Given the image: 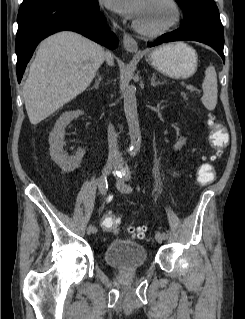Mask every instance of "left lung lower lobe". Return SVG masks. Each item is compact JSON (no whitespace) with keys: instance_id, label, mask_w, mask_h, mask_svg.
Returning a JSON list of instances; mask_svg holds the SVG:
<instances>
[{"instance_id":"left-lung-lower-lobe-1","label":"left lung lower lobe","mask_w":245,"mask_h":319,"mask_svg":"<svg viewBox=\"0 0 245 319\" xmlns=\"http://www.w3.org/2000/svg\"><path fill=\"white\" fill-rule=\"evenodd\" d=\"M179 40H193L205 43L215 49L217 53L222 57L223 61H225L223 53V31L201 23H195L186 26L181 25V27L177 30L162 35L157 41L148 43V46L153 47L161 43Z\"/></svg>"}]
</instances>
